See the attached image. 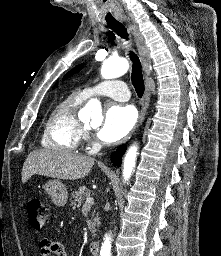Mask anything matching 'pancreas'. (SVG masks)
<instances>
[{
  "mask_svg": "<svg viewBox=\"0 0 221 256\" xmlns=\"http://www.w3.org/2000/svg\"><path fill=\"white\" fill-rule=\"evenodd\" d=\"M91 194V191L89 189H87L85 186H82V187H79L78 191H74L72 193V202H71V205L73 206V208L76 207V202L78 203V207L81 206V204L83 203L84 199L86 197H89ZM98 215H96V217L94 218L93 220V223L92 225L95 226L96 224H98ZM92 234H93V237L96 235V229L95 227H93L92 229Z\"/></svg>",
  "mask_w": 221,
  "mask_h": 256,
  "instance_id": "obj_1",
  "label": "pancreas"
}]
</instances>
